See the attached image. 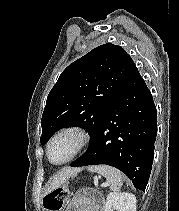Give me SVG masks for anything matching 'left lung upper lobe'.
<instances>
[{
    "label": "left lung upper lobe",
    "instance_id": "1",
    "mask_svg": "<svg viewBox=\"0 0 179 211\" xmlns=\"http://www.w3.org/2000/svg\"><path fill=\"white\" fill-rule=\"evenodd\" d=\"M132 65L126 51L111 43L70 64L48 95L41 120V144L59 128L71 125L86 128L91 141Z\"/></svg>",
    "mask_w": 179,
    "mask_h": 211
}]
</instances>
